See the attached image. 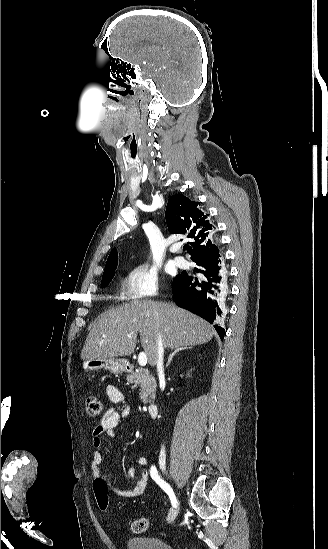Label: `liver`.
Returning a JSON list of instances; mask_svg holds the SVG:
<instances>
[{"label":"liver","mask_w":328,"mask_h":549,"mask_svg":"<svg viewBox=\"0 0 328 549\" xmlns=\"http://www.w3.org/2000/svg\"><path fill=\"white\" fill-rule=\"evenodd\" d=\"M138 333L151 367L157 361L158 337L167 349L203 345L213 337L210 323L174 303L135 299L95 319L81 351V359L128 357L134 353Z\"/></svg>","instance_id":"obj_1"}]
</instances>
